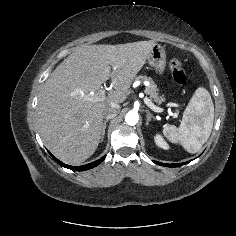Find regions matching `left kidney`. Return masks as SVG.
Masks as SVG:
<instances>
[{
    "instance_id": "5707ae66",
    "label": "left kidney",
    "mask_w": 236,
    "mask_h": 236,
    "mask_svg": "<svg viewBox=\"0 0 236 236\" xmlns=\"http://www.w3.org/2000/svg\"><path fill=\"white\" fill-rule=\"evenodd\" d=\"M154 140H155V143L158 147H160L162 149H168L169 148L168 144L164 141V139L159 134H157L154 137Z\"/></svg>"
}]
</instances>
